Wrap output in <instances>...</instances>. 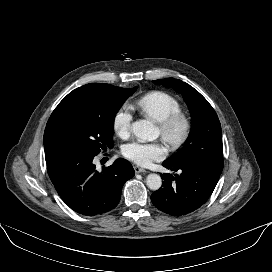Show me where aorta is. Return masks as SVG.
<instances>
[{"instance_id": "aorta-1", "label": "aorta", "mask_w": 272, "mask_h": 272, "mask_svg": "<svg viewBox=\"0 0 272 272\" xmlns=\"http://www.w3.org/2000/svg\"><path fill=\"white\" fill-rule=\"evenodd\" d=\"M133 134L141 139L155 140L159 136L157 127L148 120H139L132 124ZM146 184L151 190H158L162 185V179L158 174H149L146 178Z\"/></svg>"}]
</instances>
